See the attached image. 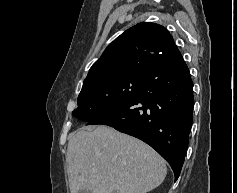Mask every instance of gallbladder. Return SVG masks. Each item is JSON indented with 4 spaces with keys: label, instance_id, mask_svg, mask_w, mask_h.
<instances>
[{
    "label": "gallbladder",
    "instance_id": "gallbladder-1",
    "mask_svg": "<svg viewBox=\"0 0 237 193\" xmlns=\"http://www.w3.org/2000/svg\"><path fill=\"white\" fill-rule=\"evenodd\" d=\"M78 193H92L90 190H82L79 191ZM113 193H118L117 191H114Z\"/></svg>",
    "mask_w": 237,
    "mask_h": 193
}]
</instances>
